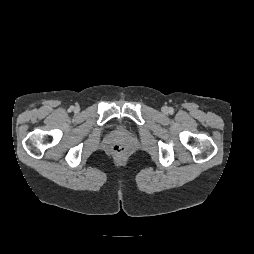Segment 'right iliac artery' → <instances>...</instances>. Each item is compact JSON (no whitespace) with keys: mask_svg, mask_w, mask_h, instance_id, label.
Masks as SVG:
<instances>
[{"mask_svg":"<svg viewBox=\"0 0 254 254\" xmlns=\"http://www.w3.org/2000/svg\"><path fill=\"white\" fill-rule=\"evenodd\" d=\"M74 109V107L73 106H71L70 108H69V111H72Z\"/></svg>","mask_w":254,"mask_h":254,"instance_id":"1","label":"right iliac artery"}]
</instances>
